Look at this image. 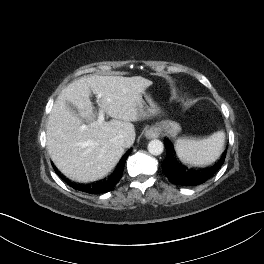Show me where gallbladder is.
I'll return each mask as SVG.
<instances>
[{
	"mask_svg": "<svg viewBox=\"0 0 264 264\" xmlns=\"http://www.w3.org/2000/svg\"><path fill=\"white\" fill-rule=\"evenodd\" d=\"M68 106H69L73 111L77 112L76 109H75V107H74L72 104L68 103Z\"/></svg>",
	"mask_w": 264,
	"mask_h": 264,
	"instance_id": "obj_1",
	"label": "gallbladder"
}]
</instances>
